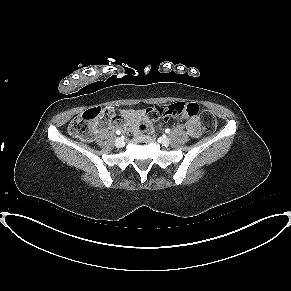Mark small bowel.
I'll return each mask as SVG.
<instances>
[{"label": "small bowel", "mask_w": 291, "mask_h": 291, "mask_svg": "<svg viewBox=\"0 0 291 291\" xmlns=\"http://www.w3.org/2000/svg\"><path fill=\"white\" fill-rule=\"evenodd\" d=\"M149 109L143 110H123L118 118L110 120L107 124L110 128L128 129L135 134L140 133V124L145 121L148 123L149 130H153V125L151 120H149ZM183 118H188L185 127L190 137L197 138L201 133L200 123L195 116L188 117L182 116Z\"/></svg>", "instance_id": "c3829d8e"}]
</instances>
